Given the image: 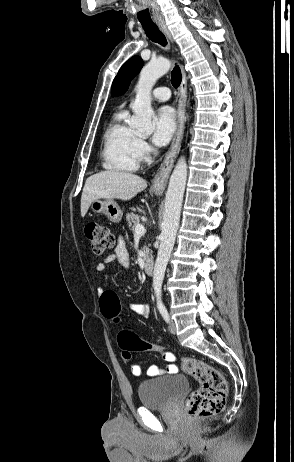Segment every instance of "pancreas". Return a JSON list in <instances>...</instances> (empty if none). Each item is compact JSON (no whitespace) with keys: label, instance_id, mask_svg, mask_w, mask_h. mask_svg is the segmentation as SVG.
Returning a JSON list of instances; mask_svg holds the SVG:
<instances>
[{"label":"pancreas","instance_id":"cf45deb5","mask_svg":"<svg viewBox=\"0 0 294 462\" xmlns=\"http://www.w3.org/2000/svg\"><path fill=\"white\" fill-rule=\"evenodd\" d=\"M126 220L128 221V226L129 229L132 230L133 232L135 231V227L140 224V217L139 215L130 212L126 214ZM143 252L145 253V257L147 256L148 253V248L146 246L143 247Z\"/></svg>","mask_w":294,"mask_h":462}]
</instances>
